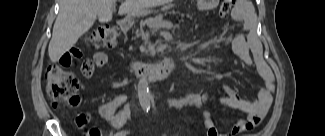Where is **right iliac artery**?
I'll list each match as a JSON object with an SVG mask.
<instances>
[{"label": "right iliac artery", "mask_w": 325, "mask_h": 136, "mask_svg": "<svg viewBox=\"0 0 325 136\" xmlns=\"http://www.w3.org/2000/svg\"><path fill=\"white\" fill-rule=\"evenodd\" d=\"M123 135H126V132L121 131V132L117 133V136H123Z\"/></svg>", "instance_id": "1"}]
</instances>
